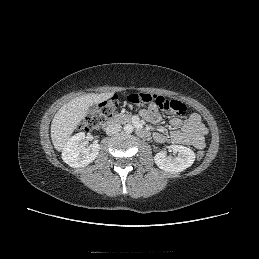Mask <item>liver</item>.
<instances>
[{
  "mask_svg": "<svg viewBox=\"0 0 259 259\" xmlns=\"http://www.w3.org/2000/svg\"><path fill=\"white\" fill-rule=\"evenodd\" d=\"M113 96L112 92L87 94L71 99L55 114L51 124V140L57 151H61L73 131L85 118L93 104L103 102Z\"/></svg>",
  "mask_w": 259,
  "mask_h": 259,
  "instance_id": "6515ba94",
  "label": "liver"
}]
</instances>
